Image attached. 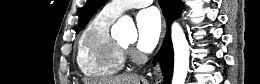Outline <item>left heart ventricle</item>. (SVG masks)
<instances>
[{
    "instance_id": "1",
    "label": "left heart ventricle",
    "mask_w": 260,
    "mask_h": 84,
    "mask_svg": "<svg viewBox=\"0 0 260 84\" xmlns=\"http://www.w3.org/2000/svg\"><path fill=\"white\" fill-rule=\"evenodd\" d=\"M122 44H124V45H129V43H127V42H122Z\"/></svg>"
}]
</instances>
